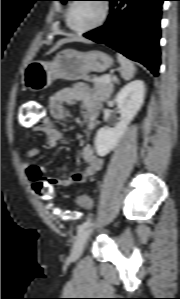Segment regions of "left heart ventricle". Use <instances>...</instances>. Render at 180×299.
I'll return each mask as SVG.
<instances>
[{
  "label": "left heart ventricle",
  "instance_id": "obj_1",
  "mask_svg": "<svg viewBox=\"0 0 180 299\" xmlns=\"http://www.w3.org/2000/svg\"><path fill=\"white\" fill-rule=\"evenodd\" d=\"M101 16V6L97 1L76 2L71 11V25L83 29L96 23Z\"/></svg>",
  "mask_w": 180,
  "mask_h": 299
}]
</instances>
